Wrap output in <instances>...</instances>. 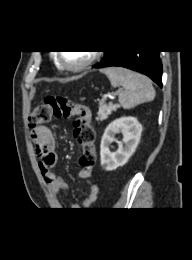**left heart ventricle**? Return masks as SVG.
Instances as JSON below:
<instances>
[{
	"label": "left heart ventricle",
	"mask_w": 192,
	"mask_h": 260,
	"mask_svg": "<svg viewBox=\"0 0 192 260\" xmlns=\"http://www.w3.org/2000/svg\"><path fill=\"white\" fill-rule=\"evenodd\" d=\"M64 61L69 65H78L89 58V51H65L62 53Z\"/></svg>",
	"instance_id": "obj_1"
}]
</instances>
